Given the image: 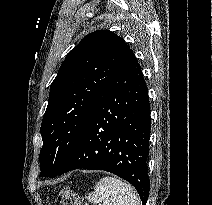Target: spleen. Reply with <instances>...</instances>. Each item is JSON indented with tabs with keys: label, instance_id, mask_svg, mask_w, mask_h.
<instances>
[{
	"label": "spleen",
	"instance_id": "1",
	"mask_svg": "<svg viewBox=\"0 0 212 205\" xmlns=\"http://www.w3.org/2000/svg\"><path fill=\"white\" fill-rule=\"evenodd\" d=\"M86 199L98 205H142L138 194L129 184L111 176L100 179Z\"/></svg>",
	"mask_w": 212,
	"mask_h": 205
}]
</instances>
